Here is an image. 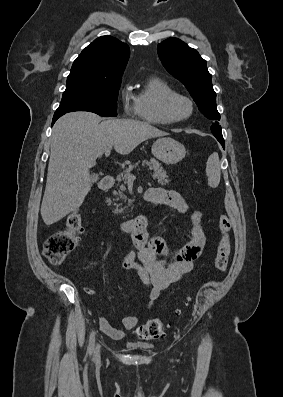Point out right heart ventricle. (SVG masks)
Instances as JSON below:
<instances>
[{
    "label": "right heart ventricle",
    "mask_w": 283,
    "mask_h": 397,
    "mask_svg": "<svg viewBox=\"0 0 283 397\" xmlns=\"http://www.w3.org/2000/svg\"><path fill=\"white\" fill-rule=\"evenodd\" d=\"M174 93V88L165 80L156 76L147 78L135 94L137 115L141 120L151 124H168L169 121L163 114V103Z\"/></svg>",
    "instance_id": "1"
}]
</instances>
